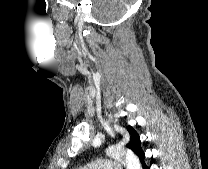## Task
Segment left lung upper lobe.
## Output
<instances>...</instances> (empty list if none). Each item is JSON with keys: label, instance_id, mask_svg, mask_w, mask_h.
I'll list each match as a JSON object with an SVG mask.
<instances>
[{"label": "left lung upper lobe", "instance_id": "5c2ea615", "mask_svg": "<svg viewBox=\"0 0 208 169\" xmlns=\"http://www.w3.org/2000/svg\"><path fill=\"white\" fill-rule=\"evenodd\" d=\"M127 130L130 133V141L127 144V147L131 149L136 155H138L141 151H143L141 148L139 134L131 126H128Z\"/></svg>", "mask_w": 208, "mask_h": 169}]
</instances>
